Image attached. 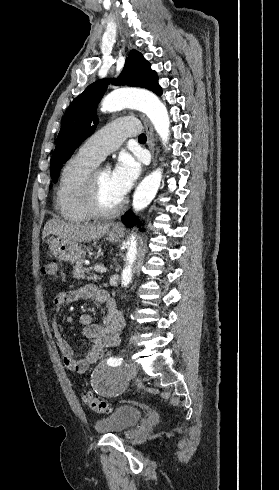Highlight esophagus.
<instances>
[{
	"mask_svg": "<svg viewBox=\"0 0 279 490\" xmlns=\"http://www.w3.org/2000/svg\"><path fill=\"white\" fill-rule=\"evenodd\" d=\"M140 118H141V120L145 126L146 133H147V145H148V148L152 154L153 162H155L156 160L154 159V155L156 153V148H155V139H154L153 127L150 124L149 120L144 115H140ZM112 228H113V230L118 229L119 225L113 224Z\"/></svg>",
	"mask_w": 279,
	"mask_h": 490,
	"instance_id": "34e87169",
	"label": "esophagus"
}]
</instances>
